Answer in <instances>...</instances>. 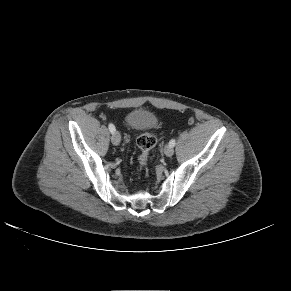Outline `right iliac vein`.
Returning <instances> with one entry per match:
<instances>
[{
    "mask_svg": "<svg viewBox=\"0 0 291 291\" xmlns=\"http://www.w3.org/2000/svg\"><path fill=\"white\" fill-rule=\"evenodd\" d=\"M111 141L114 145H119L120 141H121V135L118 131H115L114 133H112L111 136Z\"/></svg>",
    "mask_w": 291,
    "mask_h": 291,
    "instance_id": "63e3f726",
    "label": "right iliac vein"
}]
</instances>
